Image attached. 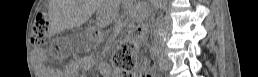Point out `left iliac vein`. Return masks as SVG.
I'll return each instance as SVG.
<instances>
[{"instance_id":"obj_1","label":"left iliac vein","mask_w":258,"mask_h":77,"mask_svg":"<svg viewBox=\"0 0 258 77\" xmlns=\"http://www.w3.org/2000/svg\"><path fill=\"white\" fill-rule=\"evenodd\" d=\"M159 67L162 71H169L172 68V62L167 57H160L159 59Z\"/></svg>"}]
</instances>
